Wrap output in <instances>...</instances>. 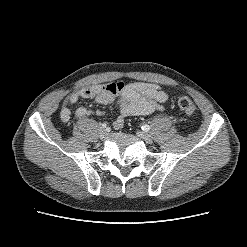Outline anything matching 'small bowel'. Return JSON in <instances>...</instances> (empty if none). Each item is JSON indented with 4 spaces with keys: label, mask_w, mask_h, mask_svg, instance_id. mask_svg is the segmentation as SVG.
Instances as JSON below:
<instances>
[{
    "label": "small bowel",
    "mask_w": 247,
    "mask_h": 247,
    "mask_svg": "<svg viewBox=\"0 0 247 247\" xmlns=\"http://www.w3.org/2000/svg\"><path fill=\"white\" fill-rule=\"evenodd\" d=\"M79 99H90L102 105H113L118 113L113 126L119 129L123 126L126 117L146 116L154 111H163L168 94L159 85L145 82H116L82 87L64 100L60 112L62 122L66 123L70 120L72 107ZM91 114L103 115L104 112L85 107H79L75 111V116L78 118Z\"/></svg>",
    "instance_id": "small-bowel-1"
}]
</instances>
